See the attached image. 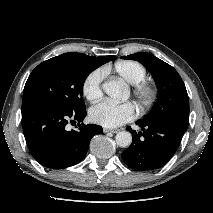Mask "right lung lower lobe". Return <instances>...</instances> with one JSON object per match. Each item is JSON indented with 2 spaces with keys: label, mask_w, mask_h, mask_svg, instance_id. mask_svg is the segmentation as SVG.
I'll return each instance as SVG.
<instances>
[{
  "label": "right lung lower lobe",
  "mask_w": 213,
  "mask_h": 213,
  "mask_svg": "<svg viewBox=\"0 0 213 213\" xmlns=\"http://www.w3.org/2000/svg\"><path fill=\"white\" fill-rule=\"evenodd\" d=\"M86 110L69 113L38 96H27L22 101L24 136L34 159L51 168H67L79 163L86 155L91 138L101 134V126L83 123L78 130L68 131L66 125L82 122Z\"/></svg>",
  "instance_id": "right-lung-lower-lobe-1"
}]
</instances>
